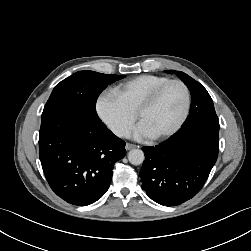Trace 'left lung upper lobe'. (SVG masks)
I'll return each mask as SVG.
<instances>
[{
    "label": "left lung upper lobe",
    "instance_id": "left-lung-upper-lobe-1",
    "mask_svg": "<svg viewBox=\"0 0 251 251\" xmlns=\"http://www.w3.org/2000/svg\"><path fill=\"white\" fill-rule=\"evenodd\" d=\"M165 72L170 74L175 73L189 88L191 93L192 101L189 115L182 127L200 121L219 122L213 101L207 90L199 82L184 72H175L174 70H166Z\"/></svg>",
    "mask_w": 251,
    "mask_h": 251
}]
</instances>
